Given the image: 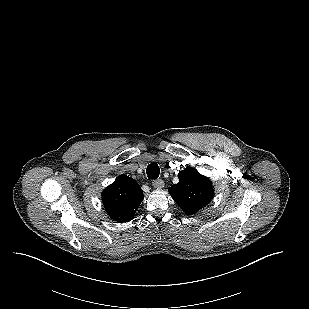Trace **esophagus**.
I'll return each instance as SVG.
<instances>
[{
    "label": "esophagus",
    "instance_id": "esophagus-1",
    "mask_svg": "<svg viewBox=\"0 0 309 309\" xmlns=\"http://www.w3.org/2000/svg\"><path fill=\"white\" fill-rule=\"evenodd\" d=\"M152 185L156 189H162L164 187V181L161 179L153 180Z\"/></svg>",
    "mask_w": 309,
    "mask_h": 309
}]
</instances>
